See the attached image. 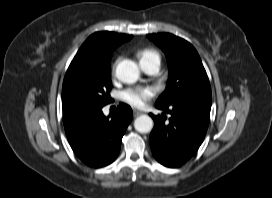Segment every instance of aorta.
Segmentation results:
<instances>
[{"mask_svg": "<svg viewBox=\"0 0 272 198\" xmlns=\"http://www.w3.org/2000/svg\"><path fill=\"white\" fill-rule=\"evenodd\" d=\"M139 76V68L132 60H123L116 67V77L124 83H135ZM134 127L140 133H148L153 128V120L148 115H141L135 119Z\"/></svg>", "mask_w": 272, "mask_h": 198, "instance_id": "762f6f07", "label": "aorta"}]
</instances>
